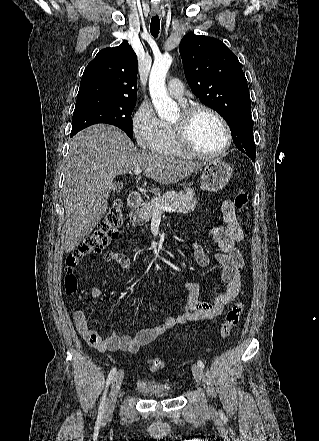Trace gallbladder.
<instances>
[{
	"instance_id": "bac80fb5",
	"label": "gallbladder",
	"mask_w": 319,
	"mask_h": 441,
	"mask_svg": "<svg viewBox=\"0 0 319 441\" xmlns=\"http://www.w3.org/2000/svg\"><path fill=\"white\" fill-rule=\"evenodd\" d=\"M122 188H123V185L121 183L114 182L112 184V191L113 192L120 191Z\"/></svg>"
}]
</instances>
